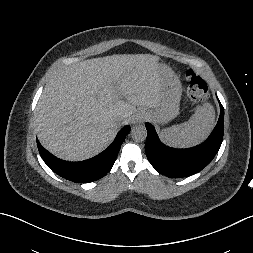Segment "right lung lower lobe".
I'll return each instance as SVG.
<instances>
[{"mask_svg":"<svg viewBox=\"0 0 253 253\" xmlns=\"http://www.w3.org/2000/svg\"><path fill=\"white\" fill-rule=\"evenodd\" d=\"M129 132L130 127L125 126L107 149L93 158L80 162H67L56 158L44 149L39 141L37 146L44 162L56 174L76 183H89L100 179L110 171Z\"/></svg>","mask_w":253,"mask_h":253,"instance_id":"1","label":"right lung lower lobe"}]
</instances>
